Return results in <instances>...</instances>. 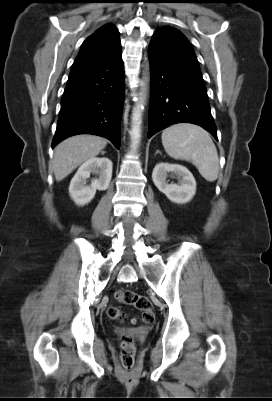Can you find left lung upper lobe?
Wrapping results in <instances>:
<instances>
[{
	"mask_svg": "<svg viewBox=\"0 0 272 401\" xmlns=\"http://www.w3.org/2000/svg\"><path fill=\"white\" fill-rule=\"evenodd\" d=\"M158 30H162L168 35H170L174 40H176L180 45L185 46L191 50H193L191 44L188 42L187 38L182 35L179 31L171 27H163Z\"/></svg>",
	"mask_w": 272,
	"mask_h": 401,
	"instance_id": "obj_1",
	"label": "left lung upper lobe"
}]
</instances>
